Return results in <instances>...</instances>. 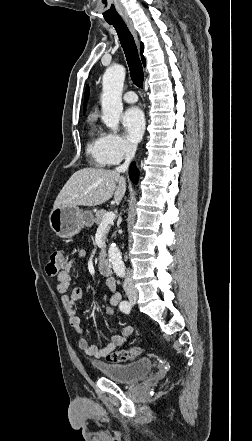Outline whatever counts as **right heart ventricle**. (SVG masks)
I'll list each match as a JSON object with an SVG mask.
<instances>
[{
  "mask_svg": "<svg viewBox=\"0 0 252 441\" xmlns=\"http://www.w3.org/2000/svg\"><path fill=\"white\" fill-rule=\"evenodd\" d=\"M103 135L94 124H91L86 151L92 161L101 167L108 164L103 149Z\"/></svg>",
  "mask_w": 252,
  "mask_h": 441,
  "instance_id": "right-heart-ventricle-1",
  "label": "right heart ventricle"
}]
</instances>
